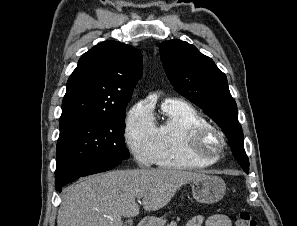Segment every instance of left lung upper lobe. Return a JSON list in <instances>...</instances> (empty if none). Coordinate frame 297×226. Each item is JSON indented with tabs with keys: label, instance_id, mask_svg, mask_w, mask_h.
<instances>
[{
	"label": "left lung upper lobe",
	"instance_id": "obj_1",
	"mask_svg": "<svg viewBox=\"0 0 297 226\" xmlns=\"http://www.w3.org/2000/svg\"><path fill=\"white\" fill-rule=\"evenodd\" d=\"M161 60L175 90L199 106L222 129L230 141L234 158L249 173L237 105L231 96L226 75L214 61L181 40L160 44Z\"/></svg>",
	"mask_w": 297,
	"mask_h": 226
}]
</instances>
